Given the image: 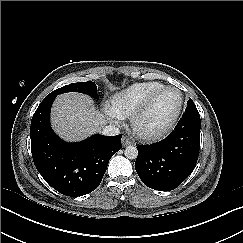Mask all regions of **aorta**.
<instances>
[{
	"label": "aorta",
	"instance_id": "1",
	"mask_svg": "<svg viewBox=\"0 0 243 243\" xmlns=\"http://www.w3.org/2000/svg\"><path fill=\"white\" fill-rule=\"evenodd\" d=\"M124 155L128 159H136L138 156V150L135 146H127L124 150Z\"/></svg>",
	"mask_w": 243,
	"mask_h": 243
}]
</instances>
